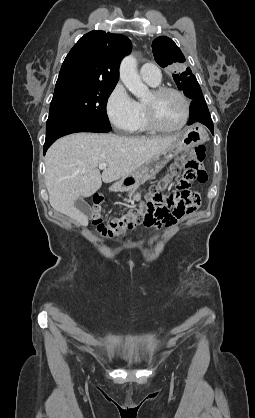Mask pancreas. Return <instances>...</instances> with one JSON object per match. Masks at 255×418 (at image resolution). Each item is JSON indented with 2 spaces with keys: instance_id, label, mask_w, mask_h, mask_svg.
<instances>
[{
  "instance_id": "pancreas-1",
  "label": "pancreas",
  "mask_w": 255,
  "mask_h": 418,
  "mask_svg": "<svg viewBox=\"0 0 255 418\" xmlns=\"http://www.w3.org/2000/svg\"><path fill=\"white\" fill-rule=\"evenodd\" d=\"M139 187V184L138 185H136L135 187H133V188H131L130 189V196L133 198L132 200H131V202H133V201H138L139 199H140V194L139 193H137V194H134L135 193V191H136V189Z\"/></svg>"
}]
</instances>
